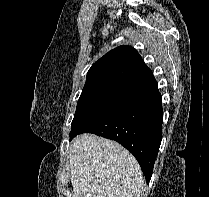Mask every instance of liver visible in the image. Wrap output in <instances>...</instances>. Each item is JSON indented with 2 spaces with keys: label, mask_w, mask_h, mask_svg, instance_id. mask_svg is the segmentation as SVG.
<instances>
[{
  "label": "liver",
  "mask_w": 209,
  "mask_h": 197,
  "mask_svg": "<svg viewBox=\"0 0 209 197\" xmlns=\"http://www.w3.org/2000/svg\"><path fill=\"white\" fill-rule=\"evenodd\" d=\"M74 197H140L144 176L134 156L119 143L92 134L69 147Z\"/></svg>",
  "instance_id": "liver-1"
}]
</instances>
